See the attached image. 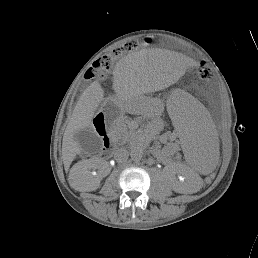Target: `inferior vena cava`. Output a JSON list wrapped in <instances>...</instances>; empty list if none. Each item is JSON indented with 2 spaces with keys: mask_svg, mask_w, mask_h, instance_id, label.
<instances>
[{
  "mask_svg": "<svg viewBox=\"0 0 258 258\" xmlns=\"http://www.w3.org/2000/svg\"><path fill=\"white\" fill-rule=\"evenodd\" d=\"M128 156L129 154L125 149H118L114 154L115 160L118 163H125L128 159Z\"/></svg>",
  "mask_w": 258,
  "mask_h": 258,
  "instance_id": "inferior-vena-cava-1",
  "label": "inferior vena cava"
}]
</instances>
